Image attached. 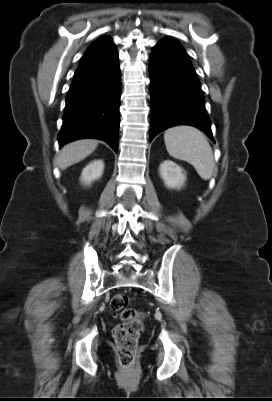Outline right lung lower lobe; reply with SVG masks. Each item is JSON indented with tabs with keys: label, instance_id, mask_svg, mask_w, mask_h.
I'll return each instance as SVG.
<instances>
[{
	"label": "right lung lower lobe",
	"instance_id": "98d812e1",
	"mask_svg": "<svg viewBox=\"0 0 272 401\" xmlns=\"http://www.w3.org/2000/svg\"><path fill=\"white\" fill-rule=\"evenodd\" d=\"M121 75L118 53L111 45L81 62L66 98L59 146L96 138L118 151Z\"/></svg>",
	"mask_w": 272,
	"mask_h": 401
}]
</instances>
